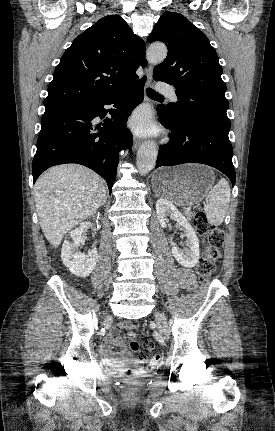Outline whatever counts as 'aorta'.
I'll return each mask as SVG.
<instances>
[{"label":"aorta","mask_w":275,"mask_h":431,"mask_svg":"<svg viewBox=\"0 0 275 431\" xmlns=\"http://www.w3.org/2000/svg\"><path fill=\"white\" fill-rule=\"evenodd\" d=\"M167 56V48L164 44H153L147 52L146 58L150 64L161 63ZM158 150L153 141H146L137 153V168L142 175L149 173L156 164Z\"/></svg>","instance_id":"1"}]
</instances>
